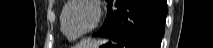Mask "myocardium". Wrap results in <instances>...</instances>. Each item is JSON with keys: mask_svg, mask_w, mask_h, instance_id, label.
<instances>
[{"mask_svg": "<svg viewBox=\"0 0 213 48\" xmlns=\"http://www.w3.org/2000/svg\"><path fill=\"white\" fill-rule=\"evenodd\" d=\"M77 3H85V4L92 6L94 11H95V19H94V22L92 23V25L87 30H85L81 33L74 34V33L67 31L66 24H65V16H66L68 9L71 6H73ZM101 18H102V9H101L98 1H95V0H72V1H69L62 10V13H61V29L66 36L77 39V38L83 37V36L91 33L93 30H95L97 28V26L99 25Z\"/></svg>", "mask_w": 213, "mask_h": 48, "instance_id": "myocardium-1", "label": "myocardium"}]
</instances>
